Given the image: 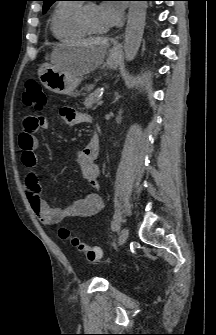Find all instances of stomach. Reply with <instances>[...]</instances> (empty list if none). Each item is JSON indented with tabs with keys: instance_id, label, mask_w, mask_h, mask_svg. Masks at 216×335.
<instances>
[{
	"instance_id": "0dacf381",
	"label": "stomach",
	"mask_w": 216,
	"mask_h": 335,
	"mask_svg": "<svg viewBox=\"0 0 216 335\" xmlns=\"http://www.w3.org/2000/svg\"><path fill=\"white\" fill-rule=\"evenodd\" d=\"M77 51L78 48L66 45H60L53 49L51 63L44 65L38 71L39 80L44 87L57 94L69 96L79 95L80 92L77 88L82 78L68 73L63 69V66ZM120 60V50L114 47L108 53L105 66L110 69H116Z\"/></svg>"
}]
</instances>
